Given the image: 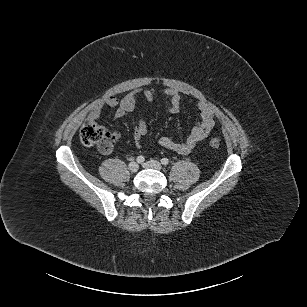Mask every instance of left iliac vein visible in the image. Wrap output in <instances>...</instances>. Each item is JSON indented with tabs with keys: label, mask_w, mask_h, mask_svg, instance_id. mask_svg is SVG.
I'll use <instances>...</instances> for the list:
<instances>
[{
	"label": "left iliac vein",
	"mask_w": 307,
	"mask_h": 307,
	"mask_svg": "<svg viewBox=\"0 0 307 307\" xmlns=\"http://www.w3.org/2000/svg\"><path fill=\"white\" fill-rule=\"evenodd\" d=\"M143 167L148 168V169H155V170H161L162 169L161 163L157 160L147 161V162L143 163Z\"/></svg>",
	"instance_id": "obj_1"
}]
</instances>
